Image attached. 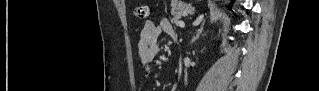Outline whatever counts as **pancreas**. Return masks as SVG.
<instances>
[{"label": "pancreas", "instance_id": "1", "mask_svg": "<svg viewBox=\"0 0 319 91\" xmlns=\"http://www.w3.org/2000/svg\"><path fill=\"white\" fill-rule=\"evenodd\" d=\"M191 10H192V7L183 3L172 5V10H171L172 22L174 24H178L183 13H189Z\"/></svg>", "mask_w": 319, "mask_h": 91}]
</instances>
